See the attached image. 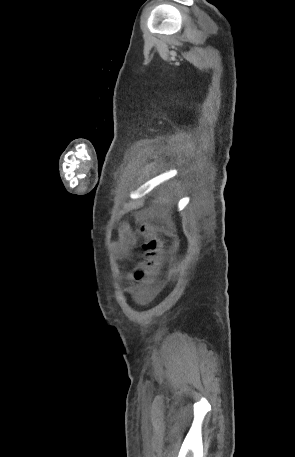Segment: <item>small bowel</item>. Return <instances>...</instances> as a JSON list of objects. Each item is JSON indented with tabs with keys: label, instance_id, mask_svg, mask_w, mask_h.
<instances>
[{
	"label": "small bowel",
	"instance_id": "c3829d8e",
	"mask_svg": "<svg viewBox=\"0 0 295 457\" xmlns=\"http://www.w3.org/2000/svg\"><path fill=\"white\" fill-rule=\"evenodd\" d=\"M136 243V237L129 226L123 225L119 230L116 249L120 254H127ZM159 290L157 286L146 285L142 288L140 296L142 299H150Z\"/></svg>",
	"mask_w": 295,
	"mask_h": 457
}]
</instances>
